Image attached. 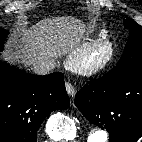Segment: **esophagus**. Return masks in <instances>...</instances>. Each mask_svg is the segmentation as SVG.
I'll return each instance as SVG.
<instances>
[{
	"mask_svg": "<svg viewBox=\"0 0 142 142\" xmlns=\"http://www.w3.org/2000/svg\"><path fill=\"white\" fill-rule=\"evenodd\" d=\"M65 87H66L67 93H68L70 96L73 97V96L75 95V92H76L75 87H74L71 83H69V82H66V83H65Z\"/></svg>",
	"mask_w": 142,
	"mask_h": 142,
	"instance_id": "obj_1",
	"label": "esophagus"
}]
</instances>
